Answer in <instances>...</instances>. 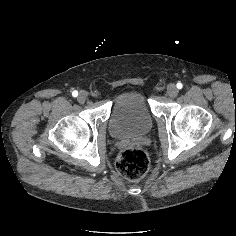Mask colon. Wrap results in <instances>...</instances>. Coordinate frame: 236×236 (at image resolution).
Segmentation results:
<instances>
[{
  "instance_id": "1",
  "label": "colon",
  "mask_w": 236,
  "mask_h": 236,
  "mask_svg": "<svg viewBox=\"0 0 236 236\" xmlns=\"http://www.w3.org/2000/svg\"><path fill=\"white\" fill-rule=\"evenodd\" d=\"M116 169L122 177L128 180H139L149 170V158L141 149L127 148L119 154Z\"/></svg>"
}]
</instances>
